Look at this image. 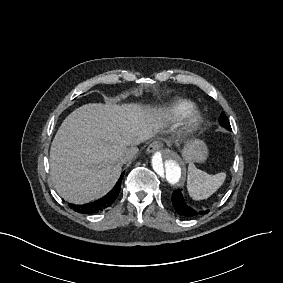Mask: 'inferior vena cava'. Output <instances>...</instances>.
Wrapping results in <instances>:
<instances>
[{
  "label": "inferior vena cava",
  "mask_w": 283,
  "mask_h": 283,
  "mask_svg": "<svg viewBox=\"0 0 283 283\" xmlns=\"http://www.w3.org/2000/svg\"><path fill=\"white\" fill-rule=\"evenodd\" d=\"M138 151L139 149L137 146H130L126 148L123 152H121L118 155L117 159L120 161L121 164H125L128 161L134 159Z\"/></svg>",
  "instance_id": "obj_1"
}]
</instances>
